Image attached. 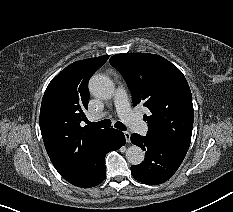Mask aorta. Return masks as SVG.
I'll return each mask as SVG.
<instances>
[{"label":"aorta","mask_w":233,"mask_h":212,"mask_svg":"<svg viewBox=\"0 0 233 212\" xmlns=\"http://www.w3.org/2000/svg\"><path fill=\"white\" fill-rule=\"evenodd\" d=\"M90 92L99 98L110 99L115 93L114 83L105 75L96 74L89 81ZM126 159L132 165H138L144 160V152L136 145L128 147Z\"/></svg>","instance_id":"762f6f07"}]
</instances>
